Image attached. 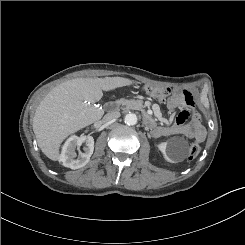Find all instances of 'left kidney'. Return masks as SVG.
Masks as SVG:
<instances>
[{
    "label": "left kidney",
    "instance_id": "left-kidney-1",
    "mask_svg": "<svg viewBox=\"0 0 245 245\" xmlns=\"http://www.w3.org/2000/svg\"><path fill=\"white\" fill-rule=\"evenodd\" d=\"M158 149L161 151V153L163 154L164 159L167 162L170 163H176L177 160L181 157L182 152L179 151L178 148H175L174 150H172L171 153H168V142H161L158 144Z\"/></svg>",
    "mask_w": 245,
    "mask_h": 245
}]
</instances>
